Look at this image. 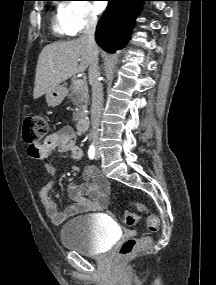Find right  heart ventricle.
Here are the masks:
<instances>
[{"label":"right heart ventricle","mask_w":216,"mask_h":285,"mask_svg":"<svg viewBox=\"0 0 216 285\" xmlns=\"http://www.w3.org/2000/svg\"><path fill=\"white\" fill-rule=\"evenodd\" d=\"M53 28L57 34H60V35L67 34L66 31L64 30L62 24H61L59 14H57L55 17Z\"/></svg>","instance_id":"1"}]
</instances>
